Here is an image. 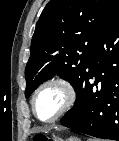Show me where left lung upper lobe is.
Wrapping results in <instances>:
<instances>
[{
    "instance_id": "1",
    "label": "left lung upper lobe",
    "mask_w": 119,
    "mask_h": 141,
    "mask_svg": "<svg viewBox=\"0 0 119 141\" xmlns=\"http://www.w3.org/2000/svg\"><path fill=\"white\" fill-rule=\"evenodd\" d=\"M119 11V0H51L41 13L25 68V96L59 75L78 90L100 33Z\"/></svg>"
}]
</instances>
